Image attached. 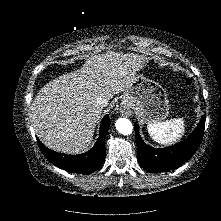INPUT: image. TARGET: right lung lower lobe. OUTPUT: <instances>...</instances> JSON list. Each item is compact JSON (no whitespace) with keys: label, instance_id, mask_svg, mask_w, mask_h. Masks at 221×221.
Returning <instances> with one entry per match:
<instances>
[{"label":"right lung lower lobe","instance_id":"right-lung-lower-lobe-1","mask_svg":"<svg viewBox=\"0 0 221 221\" xmlns=\"http://www.w3.org/2000/svg\"><path fill=\"white\" fill-rule=\"evenodd\" d=\"M110 126L106 115L101 122L100 135L94 147L81 155H67L48 149L39 140L38 144L45 157L55 166L73 173H91L101 167L105 161V137Z\"/></svg>","mask_w":221,"mask_h":221}]
</instances>
